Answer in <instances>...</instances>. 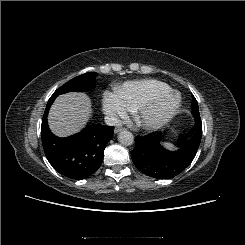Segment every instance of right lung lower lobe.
I'll return each mask as SVG.
<instances>
[{
    "label": "right lung lower lobe",
    "instance_id": "1",
    "mask_svg": "<svg viewBox=\"0 0 245 245\" xmlns=\"http://www.w3.org/2000/svg\"><path fill=\"white\" fill-rule=\"evenodd\" d=\"M54 100L49 99L42 118L41 137L45 155L60 174L75 180L87 178L100 167L114 127L91 124L73 136L57 137L47 124L49 108Z\"/></svg>",
    "mask_w": 245,
    "mask_h": 245
}]
</instances>
